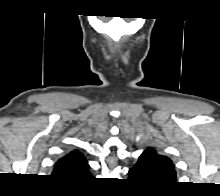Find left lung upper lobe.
Listing matches in <instances>:
<instances>
[{
	"instance_id": "5c2ea615",
	"label": "left lung upper lobe",
	"mask_w": 220,
	"mask_h": 196,
	"mask_svg": "<svg viewBox=\"0 0 220 196\" xmlns=\"http://www.w3.org/2000/svg\"><path fill=\"white\" fill-rule=\"evenodd\" d=\"M158 184L169 185L176 183V172L173 162L164 155L157 153L154 148H147L139 157Z\"/></svg>"
}]
</instances>
